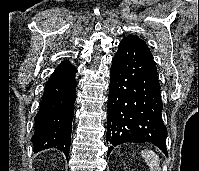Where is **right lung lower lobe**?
<instances>
[{"mask_svg": "<svg viewBox=\"0 0 199 171\" xmlns=\"http://www.w3.org/2000/svg\"><path fill=\"white\" fill-rule=\"evenodd\" d=\"M77 69L67 60L61 62L45 84L39 111L34 118L33 151L57 147L69 155Z\"/></svg>", "mask_w": 199, "mask_h": 171, "instance_id": "obj_1", "label": "right lung lower lobe"}]
</instances>
